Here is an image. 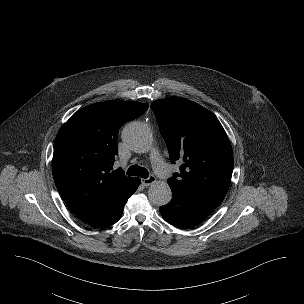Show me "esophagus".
I'll return each mask as SVG.
<instances>
[{
	"mask_svg": "<svg viewBox=\"0 0 304 304\" xmlns=\"http://www.w3.org/2000/svg\"><path fill=\"white\" fill-rule=\"evenodd\" d=\"M141 182H142V184H143L144 186H149V185H151V184H153V183L156 182V177L153 176V175H151V176H149L148 178L142 179Z\"/></svg>",
	"mask_w": 304,
	"mask_h": 304,
	"instance_id": "1",
	"label": "esophagus"
}]
</instances>
